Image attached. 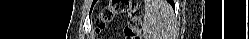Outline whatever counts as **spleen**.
Instances as JSON below:
<instances>
[{"label": "spleen", "instance_id": "spleen-1", "mask_svg": "<svg viewBox=\"0 0 249 39\" xmlns=\"http://www.w3.org/2000/svg\"><path fill=\"white\" fill-rule=\"evenodd\" d=\"M171 22V8L165 0L145 1L142 25L145 39H169Z\"/></svg>", "mask_w": 249, "mask_h": 39}]
</instances>
